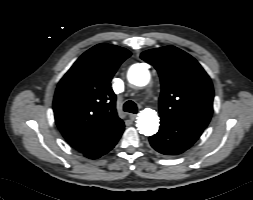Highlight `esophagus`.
I'll return each mask as SVG.
<instances>
[{
    "mask_svg": "<svg viewBox=\"0 0 253 200\" xmlns=\"http://www.w3.org/2000/svg\"><path fill=\"white\" fill-rule=\"evenodd\" d=\"M129 117L132 121H134L137 117V114H130Z\"/></svg>",
    "mask_w": 253,
    "mask_h": 200,
    "instance_id": "obj_1",
    "label": "esophagus"
}]
</instances>
